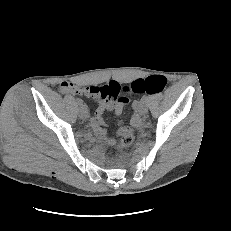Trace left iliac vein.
<instances>
[{
  "label": "left iliac vein",
  "mask_w": 231,
  "mask_h": 231,
  "mask_svg": "<svg viewBox=\"0 0 231 231\" xmlns=\"http://www.w3.org/2000/svg\"><path fill=\"white\" fill-rule=\"evenodd\" d=\"M138 110L141 114H146L148 112V106H147L146 102L142 101Z\"/></svg>",
  "instance_id": "4c4485c4"
}]
</instances>
